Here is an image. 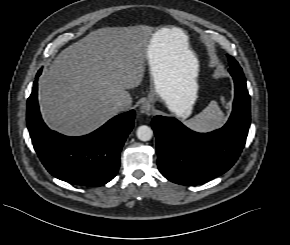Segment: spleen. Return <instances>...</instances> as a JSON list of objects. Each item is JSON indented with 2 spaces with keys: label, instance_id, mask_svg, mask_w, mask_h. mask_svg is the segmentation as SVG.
<instances>
[{
  "label": "spleen",
  "instance_id": "obj_1",
  "mask_svg": "<svg viewBox=\"0 0 290 245\" xmlns=\"http://www.w3.org/2000/svg\"><path fill=\"white\" fill-rule=\"evenodd\" d=\"M224 103V97H221ZM225 121L224 113L220 110L216 101L209 105L198 115L187 121V126L197 132H210L220 128Z\"/></svg>",
  "mask_w": 290,
  "mask_h": 245
}]
</instances>
